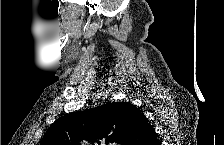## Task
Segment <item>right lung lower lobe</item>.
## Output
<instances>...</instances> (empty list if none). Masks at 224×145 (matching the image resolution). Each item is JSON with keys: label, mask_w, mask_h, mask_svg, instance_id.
I'll return each instance as SVG.
<instances>
[{"label": "right lung lower lobe", "mask_w": 224, "mask_h": 145, "mask_svg": "<svg viewBox=\"0 0 224 145\" xmlns=\"http://www.w3.org/2000/svg\"><path fill=\"white\" fill-rule=\"evenodd\" d=\"M158 143H159V142H158V141H156V142H154L153 144H154V145H159Z\"/></svg>", "instance_id": "1"}]
</instances>
